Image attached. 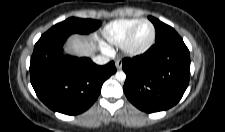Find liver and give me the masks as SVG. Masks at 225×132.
<instances>
[{
	"instance_id": "6515ba94",
	"label": "liver",
	"mask_w": 225,
	"mask_h": 132,
	"mask_svg": "<svg viewBox=\"0 0 225 132\" xmlns=\"http://www.w3.org/2000/svg\"><path fill=\"white\" fill-rule=\"evenodd\" d=\"M96 47L91 38L72 35L66 45L65 52L73 56H90Z\"/></svg>"
}]
</instances>
